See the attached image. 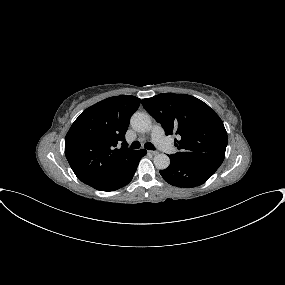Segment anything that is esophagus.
I'll return each mask as SVG.
<instances>
[{"label":"esophagus","mask_w":285,"mask_h":285,"mask_svg":"<svg viewBox=\"0 0 285 285\" xmlns=\"http://www.w3.org/2000/svg\"><path fill=\"white\" fill-rule=\"evenodd\" d=\"M148 153H149L150 155H153V156L157 154V152H156V151H151V150H150V151H148Z\"/></svg>","instance_id":"34e87169"}]
</instances>
